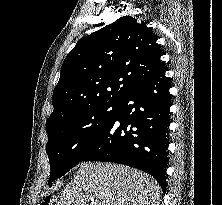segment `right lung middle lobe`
<instances>
[{"mask_svg": "<svg viewBox=\"0 0 222 205\" xmlns=\"http://www.w3.org/2000/svg\"><path fill=\"white\" fill-rule=\"evenodd\" d=\"M120 102H103L81 109L46 126V152L51 166L49 185L82 160L93 139L111 122Z\"/></svg>", "mask_w": 222, "mask_h": 205, "instance_id": "obj_1", "label": "right lung middle lobe"}]
</instances>
